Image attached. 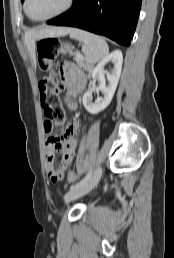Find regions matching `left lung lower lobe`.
<instances>
[{
  "instance_id": "1",
  "label": "left lung lower lobe",
  "mask_w": 174,
  "mask_h": 258,
  "mask_svg": "<svg viewBox=\"0 0 174 258\" xmlns=\"http://www.w3.org/2000/svg\"><path fill=\"white\" fill-rule=\"evenodd\" d=\"M142 0H74L66 13L47 21L106 36L129 46L138 21Z\"/></svg>"
}]
</instances>
